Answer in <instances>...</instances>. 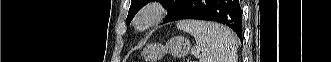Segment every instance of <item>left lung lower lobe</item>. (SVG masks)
<instances>
[{
	"label": "left lung lower lobe",
	"mask_w": 331,
	"mask_h": 62,
	"mask_svg": "<svg viewBox=\"0 0 331 62\" xmlns=\"http://www.w3.org/2000/svg\"><path fill=\"white\" fill-rule=\"evenodd\" d=\"M182 19L219 22L232 28L242 39V10L239 0H186L168 22Z\"/></svg>",
	"instance_id": "0a47b994"
}]
</instances>
